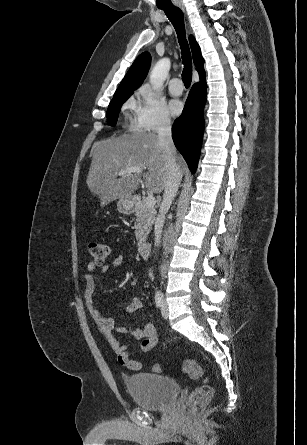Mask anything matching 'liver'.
Returning <instances> with one entry per match:
<instances>
[{
    "instance_id": "liver-1",
    "label": "liver",
    "mask_w": 307,
    "mask_h": 445,
    "mask_svg": "<svg viewBox=\"0 0 307 445\" xmlns=\"http://www.w3.org/2000/svg\"><path fill=\"white\" fill-rule=\"evenodd\" d=\"M93 156L86 178L87 186L99 198L100 206L109 204L115 198L132 196L145 176V186L152 192H162L166 180V150L158 142L155 132H134L122 136H110L106 140L94 142ZM177 166H182L180 156H176ZM140 166L143 172H118ZM147 170V172H144Z\"/></svg>"
}]
</instances>
